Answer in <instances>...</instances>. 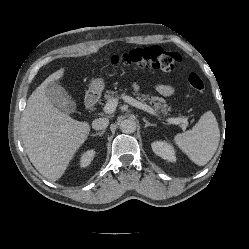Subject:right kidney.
Listing matches in <instances>:
<instances>
[{
  "label": "right kidney",
  "mask_w": 249,
  "mask_h": 249,
  "mask_svg": "<svg viewBox=\"0 0 249 249\" xmlns=\"http://www.w3.org/2000/svg\"><path fill=\"white\" fill-rule=\"evenodd\" d=\"M94 155H95L94 150H88L84 152L80 158V166L87 167L93 160Z\"/></svg>",
  "instance_id": "obj_1"
}]
</instances>
